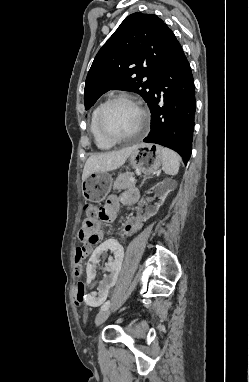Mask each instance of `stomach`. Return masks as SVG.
Here are the masks:
<instances>
[{
    "mask_svg": "<svg viewBox=\"0 0 249 382\" xmlns=\"http://www.w3.org/2000/svg\"><path fill=\"white\" fill-rule=\"evenodd\" d=\"M162 164L161 147L155 144H137L129 156V165L146 175L152 174ZM111 176L106 172L91 173L82 182V195L90 202L100 203L111 191Z\"/></svg>",
    "mask_w": 249,
    "mask_h": 382,
    "instance_id": "1",
    "label": "stomach"
}]
</instances>
